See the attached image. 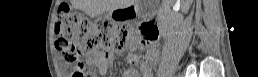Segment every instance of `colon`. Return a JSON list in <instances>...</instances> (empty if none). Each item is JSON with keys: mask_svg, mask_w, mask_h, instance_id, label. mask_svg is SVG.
Returning <instances> with one entry per match:
<instances>
[{"mask_svg": "<svg viewBox=\"0 0 258 77\" xmlns=\"http://www.w3.org/2000/svg\"><path fill=\"white\" fill-rule=\"evenodd\" d=\"M54 29L58 46L67 61L74 65L75 75L83 73V68L78 64L80 51L108 46L116 50L130 48L133 51H143L148 48L156 33L154 26L146 25L142 30H133L128 24L119 21L102 20L92 23L66 6L57 8ZM137 58L140 63L144 61L141 56ZM129 63L135 64L134 58H130Z\"/></svg>", "mask_w": 258, "mask_h": 77, "instance_id": "1", "label": "colon"}]
</instances>
